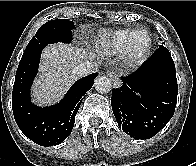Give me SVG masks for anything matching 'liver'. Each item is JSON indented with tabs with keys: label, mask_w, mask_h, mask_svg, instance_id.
Returning a JSON list of instances; mask_svg holds the SVG:
<instances>
[{
	"label": "liver",
	"mask_w": 196,
	"mask_h": 166,
	"mask_svg": "<svg viewBox=\"0 0 196 166\" xmlns=\"http://www.w3.org/2000/svg\"><path fill=\"white\" fill-rule=\"evenodd\" d=\"M89 58L91 54L67 44L46 46L41 55L39 75L32 86L33 101L44 105L59 100L77 78L74 69Z\"/></svg>",
	"instance_id": "obj_1"
}]
</instances>
